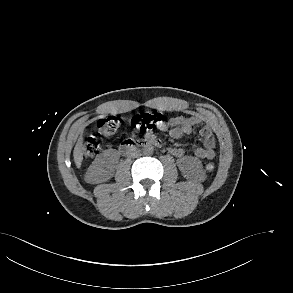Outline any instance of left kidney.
Returning a JSON list of instances; mask_svg holds the SVG:
<instances>
[{"label": "left kidney", "mask_w": 293, "mask_h": 293, "mask_svg": "<svg viewBox=\"0 0 293 293\" xmlns=\"http://www.w3.org/2000/svg\"><path fill=\"white\" fill-rule=\"evenodd\" d=\"M179 170L186 179L203 180L205 172L202 162L193 156H185L177 161Z\"/></svg>", "instance_id": "1"}]
</instances>
